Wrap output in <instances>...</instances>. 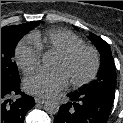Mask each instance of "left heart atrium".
I'll return each instance as SVG.
<instances>
[{
	"mask_svg": "<svg viewBox=\"0 0 123 123\" xmlns=\"http://www.w3.org/2000/svg\"><path fill=\"white\" fill-rule=\"evenodd\" d=\"M68 83L65 74L59 70L40 69L29 74L24 80L28 93L39 97H49Z\"/></svg>",
	"mask_w": 123,
	"mask_h": 123,
	"instance_id": "left-heart-atrium-1",
	"label": "left heart atrium"
}]
</instances>
